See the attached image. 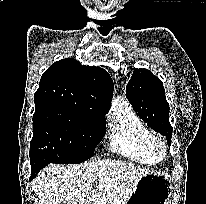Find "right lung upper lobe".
<instances>
[{"label": "right lung upper lobe", "mask_w": 206, "mask_h": 204, "mask_svg": "<svg viewBox=\"0 0 206 204\" xmlns=\"http://www.w3.org/2000/svg\"><path fill=\"white\" fill-rule=\"evenodd\" d=\"M113 89L112 79L104 69L67 58L55 62L42 75L35 105H61L105 116L111 107Z\"/></svg>", "instance_id": "right-lung-upper-lobe-1"}]
</instances>
